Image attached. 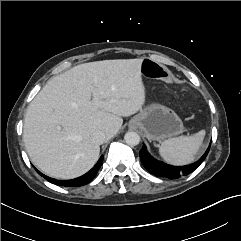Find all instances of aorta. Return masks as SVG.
<instances>
[{"label":"aorta","instance_id":"aorta-1","mask_svg":"<svg viewBox=\"0 0 241 241\" xmlns=\"http://www.w3.org/2000/svg\"><path fill=\"white\" fill-rule=\"evenodd\" d=\"M124 141L129 146H136L140 143V136L136 132H127L124 136Z\"/></svg>","mask_w":241,"mask_h":241}]
</instances>
